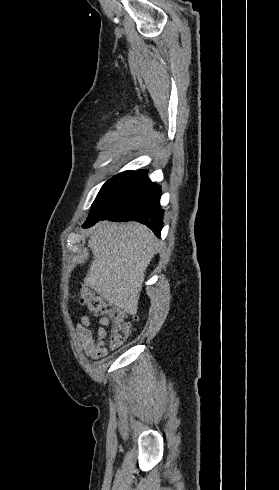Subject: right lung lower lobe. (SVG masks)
I'll use <instances>...</instances> for the list:
<instances>
[{"instance_id": "1", "label": "right lung lower lobe", "mask_w": 279, "mask_h": 490, "mask_svg": "<svg viewBox=\"0 0 279 490\" xmlns=\"http://www.w3.org/2000/svg\"><path fill=\"white\" fill-rule=\"evenodd\" d=\"M160 197L161 187L151 181L126 188L108 201L106 210L100 217L85 222L83 227L88 228L104 219L116 222L138 221L160 236L164 214Z\"/></svg>"}]
</instances>
